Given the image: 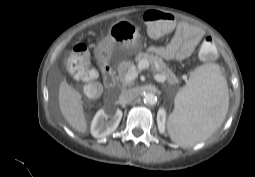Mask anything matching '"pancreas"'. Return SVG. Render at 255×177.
<instances>
[{
  "instance_id": "pancreas-1",
  "label": "pancreas",
  "mask_w": 255,
  "mask_h": 177,
  "mask_svg": "<svg viewBox=\"0 0 255 177\" xmlns=\"http://www.w3.org/2000/svg\"><path fill=\"white\" fill-rule=\"evenodd\" d=\"M141 60L148 61L152 66H155V64H157V66H155V71H157L158 75L164 76L165 80H167L168 83H178L177 76L167 67V65L162 61L161 58L150 55L148 53L139 52L135 57V61L139 62ZM133 66L134 62L129 60H123L119 63L117 68L118 76L116 79L121 83L122 87L130 86L133 84V82L125 81L126 74Z\"/></svg>"
}]
</instances>
